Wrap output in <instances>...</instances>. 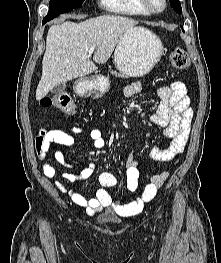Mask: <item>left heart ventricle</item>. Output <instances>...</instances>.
<instances>
[{
	"label": "left heart ventricle",
	"instance_id": "b2bd125f",
	"mask_svg": "<svg viewBox=\"0 0 221 263\" xmlns=\"http://www.w3.org/2000/svg\"><path fill=\"white\" fill-rule=\"evenodd\" d=\"M153 3H154V5L157 6V7L160 6V4H161V3H160V0H153Z\"/></svg>",
	"mask_w": 221,
	"mask_h": 263
}]
</instances>
